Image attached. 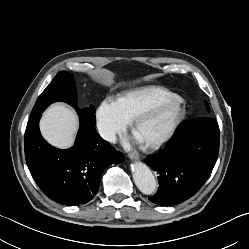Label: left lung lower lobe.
<instances>
[{"label": "left lung lower lobe", "mask_w": 249, "mask_h": 249, "mask_svg": "<svg viewBox=\"0 0 249 249\" xmlns=\"http://www.w3.org/2000/svg\"><path fill=\"white\" fill-rule=\"evenodd\" d=\"M220 131L212 118L186 123L174 140L145 162L159 173V188L149 200L173 205L192 197L206 182L216 163Z\"/></svg>", "instance_id": "1"}]
</instances>
